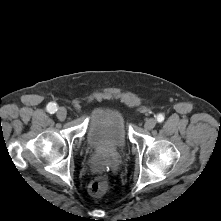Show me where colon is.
Returning <instances> with one entry per match:
<instances>
[{"label":"colon","instance_id":"5ec220e1","mask_svg":"<svg viewBox=\"0 0 221 221\" xmlns=\"http://www.w3.org/2000/svg\"><path fill=\"white\" fill-rule=\"evenodd\" d=\"M111 189L110 181L105 176H99L93 180L89 187V194L94 197H100L107 194Z\"/></svg>","mask_w":221,"mask_h":221}]
</instances>
